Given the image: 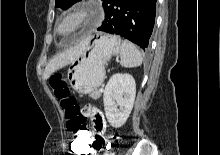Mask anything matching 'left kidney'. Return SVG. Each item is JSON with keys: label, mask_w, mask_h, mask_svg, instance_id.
I'll return each instance as SVG.
<instances>
[{"label": "left kidney", "mask_w": 220, "mask_h": 155, "mask_svg": "<svg viewBox=\"0 0 220 155\" xmlns=\"http://www.w3.org/2000/svg\"><path fill=\"white\" fill-rule=\"evenodd\" d=\"M135 95L136 84L132 75L117 73L109 79L103 102L106 118L112 127L124 125L132 111Z\"/></svg>", "instance_id": "5707ae66"}]
</instances>
